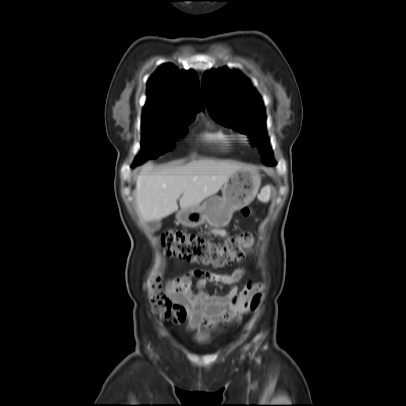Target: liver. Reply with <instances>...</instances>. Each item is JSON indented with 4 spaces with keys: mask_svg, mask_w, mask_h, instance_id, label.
I'll use <instances>...</instances> for the list:
<instances>
[{
    "mask_svg": "<svg viewBox=\"0 0 406 406\" xmlns=\"http://www.w3.org/2000/svg\"><path fill=\"white\" fill-rule=\"evenodd\" d=\"M245 165L200 159L183 166L155 170L152 163L136 177V204L141 220L159 221L178 210L199 205L216 194L228 178Z\"/></svg>",
    "mask_w": 406,
    "mask_h": 406,
    "instance_id": "obj_1",
    "label": "liver"
}]
</instances>
